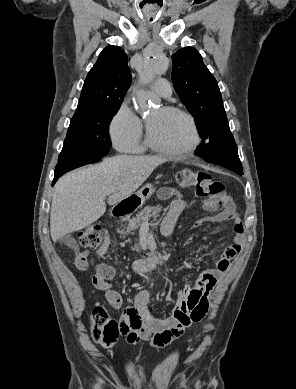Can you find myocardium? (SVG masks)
<instances>
[{
  "instance_id": "1",
  "label": "myocardium",
  "mask_w": 296,
  "mask_h": 389,
  "mask_svg": "<svg viewBox=\"0 0 296 389\" xmlns=\"http://www.w3.org/2000/svg\"><path fill=\"white\" fill-rule=\"evenodd\" d=\"M163 109L167 112L178 114V115L184 117L188 121L190 128H191V132H192L191 141L189 142L188 145H186L184 148H181V149H170L167 147H163V146L157 144L153 140L151 132H150L149 127L147 125V128H146L147 145L152 150H154L158 153L170 156V157H174V158L188 157L197 149V147L199 146V144L201 142L200 131H199V128H198V125H197L195 118L188 111H186L182 108L176 107V106L168 105V106H165Z\"/></svg>"
}]
</instances>
